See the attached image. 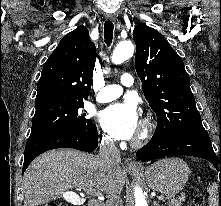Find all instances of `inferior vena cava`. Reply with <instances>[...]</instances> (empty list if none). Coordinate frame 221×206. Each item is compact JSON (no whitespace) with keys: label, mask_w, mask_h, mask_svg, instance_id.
<instances>
[{"label":"inferior vena cava","mask_w":221,"mask_h":206,"mask_svg":"<svg viewBox=\"0 0 221 206\" xmlns=\"http://www.w3.org/2000/svg\"><path fill=\"white\" fill-rule=\"evenodd\" d=\"M98 158L102 163L108 166H116L121 162L120 151L116 147L113 139H102ZM107 198L106 206H122V200L119 194H110Z\"/></svg>","instance_id":"obj_1"}]
</instances>
